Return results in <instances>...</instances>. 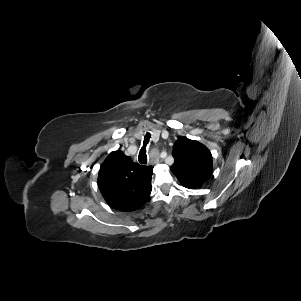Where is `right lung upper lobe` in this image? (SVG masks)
Returning <instances> with one entry per match:
<instances>
[{"mask_svg": "<svg viewBox=\"0 0 301 301\" xmlns=\"http://www.w3.org/2000/svg\"><path fill=\"white\" fill-rule=\"evenodd\" d=\"M152 170V166L139 165L122 151H114L100 167L98 187L112 208L134 211L150 196Z\"/></svg>", "mask_w": 301, "mask_h": 301, "instance_id": "right-lung-upper-lobe-1", "label": "right lung upper lobe"}]
</instances>
